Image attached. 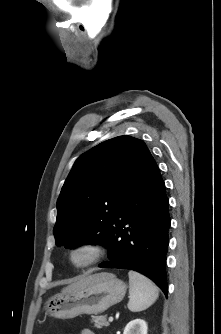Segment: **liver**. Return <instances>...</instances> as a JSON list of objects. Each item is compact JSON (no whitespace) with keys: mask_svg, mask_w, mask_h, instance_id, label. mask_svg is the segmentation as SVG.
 I'll list each match as a JSON object with an SVG mask.
<instances>
[{"mask_svg":"<svg viewBox=\"0 0 221 334\" xmlns=\"http://www.w3.org/2000/svg\"><path fill=\"white\" fill-rule=\"evenodd\" d=\"M94 281V278L90 273L83 275L80 277L76 282L68 285L63 289V292H71L77 289H81L86 287L87 285L91 284Z\"/></svg>","mask_w":221,"mask_h":334,"instance_id":"1","label":"liver"}]
</instances>
